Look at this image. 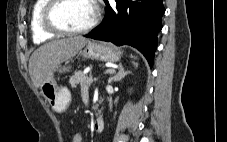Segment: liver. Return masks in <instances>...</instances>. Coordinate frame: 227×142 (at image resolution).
Returning a JSON list of instances; mask_svg holds the SVG:
<instances>
[{"label":"liver","instance_id":"obj_1","mask_svg":"<svg viewBox=\"0 0 227 142\" xmlns=\"http://www.w3.org/2000/svg\"><path fill=\"white\" fill-rule=\"evenodd\" d=\"M88 42L82 36H73L50 41L35 50L29 60V74L34 86L41 87L61 63L76 56Z\"/></svg>","mask_w":227,"mask_h":142}]
</instances>
